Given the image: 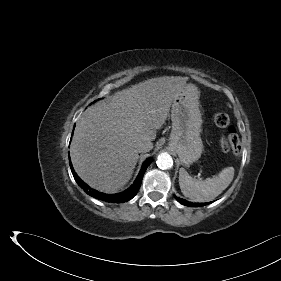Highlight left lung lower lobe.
<instances>
[{"mask_svg":"<svg viewBox=\"0 0 281 281\" xmlns=\"http://www.w3.org/2000/svg\"><path fill=\"white\" fill-rule=\"evenodd\" d=\"M177 199V201L185 206H190V207H198V206H203L209 203H192V202H188L186 200H183L179 197H175Z\"/></svg>","mask_w":281,"mask_h":281,"instance_id":"obj_1","label":"left lung lower lobe"}]
</instances>
